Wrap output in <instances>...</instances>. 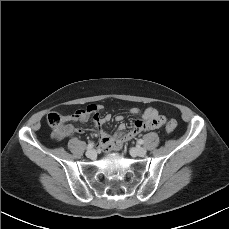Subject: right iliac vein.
Instances as JSON below:
<instances>
[{"label": "right iliac vein", "instance_id": "63e3f726", "mask_svg": "<svg viewBox=\"0 0 229 229\" xmlns=\"http://www.w3.org/2000/svg\"><path fill=\"white\" fill-rule=\"evenodd\" d=\"M86 156H87L88 158H91V159H92V158H94V157L96 156V151L93 150V149L87 150Z\"/></svg>", "mask_w": 229, "mask_h": 229}]
</instances>
